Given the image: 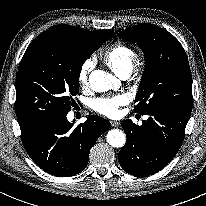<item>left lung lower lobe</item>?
<instances>
[{"label": "left lung lower lobe", "instance_id": "left-lung-lower-lobe-1", "mask_svg": "<svg viewBox=\"0 0 206 206\" xmlns=\"http://www.w3.org/2000/svg\"><path fill=\"white\" fill-rule=\"evenodd\" d=\"M141 126L131 120L121 125L127 135L118 160L121 167L135 176H148L162 170L177 154L191 111L157 107L148 111Z\"/></svg>", "mask_w": 206, "mask_h": 206}]
</instances>
